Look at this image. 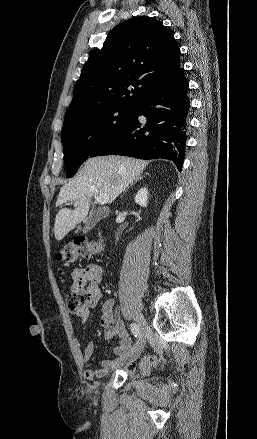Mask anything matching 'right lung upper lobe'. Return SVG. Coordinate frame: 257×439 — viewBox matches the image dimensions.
<instances>
[{
  "mask_svg": "<svg viewBox=\"0 0 257 439\" xmlns=\"http://www.w3.org/2000/svg\"><path fill=\"white\" fill-rule=\"evenodd\" d=\"M179 69L180 49L160 21L148 16L128 20L90 53L64 121L109 106L136 108Z\"/></svg>",
  "mask_w": 257,
  "mask_h": 439,
  "instance_id": "1",
  "label": "right lung upper lobe"
}]
</instances>
